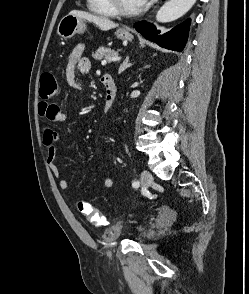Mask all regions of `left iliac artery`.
Masks as SVG:
<instances>
[{"label": "left iliac artery", "mask_w": 249, "mask_h": 294, "mask_svg": "<svg viewBox=\"0 0 249 294\" xmlns=\"http://www.w3.org/2000/svg\"><path fill=\"white\" fill-rule=\"evenodd\" d=\"M132 185L134 188H138L140 183H139V181H134Z\"/></svg>", "instance_id": "44dca946"}]
</instances>
